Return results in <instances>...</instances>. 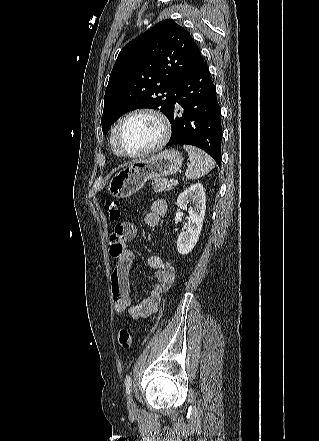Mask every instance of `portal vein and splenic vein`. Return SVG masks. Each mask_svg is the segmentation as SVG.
Listing matches in <instances>:
<instances>
[{"instance_id":"portal-vein-and-splenic-vein-1","label":"portal vein and splenic vein","mask_w":319,"mask_h":441,"mask_svg":"<svg viewBox=\"0 0 319 441\" xmlns=\"http://www.w3.org/2000/svg\"><path fill=\"white\" fill-rule=\"evenodd\" d=\"M171 184H172V185H177V184H178V180H175V179L172 180V181H171Z\"/></svg>"}]
</instances>
